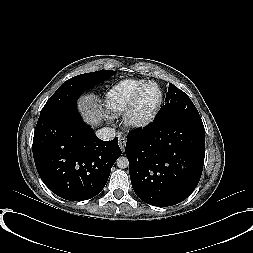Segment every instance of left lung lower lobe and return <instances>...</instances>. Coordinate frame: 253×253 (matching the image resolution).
I'll return each instance as SVG.
<instances>
[{
  "instance_id": "obj_1",
  "label": "left lung lower lobe",
  "mask_w": 253,
  "mask_h": 253,
  "mask_svg": "<svg viewBox=\"0 0 253 253\" xmlns=\"http://www.w3.org/2000/svg\"><path fill=\"white\" fill-rule=\"evenodd\" d=\"M132 187L144 202L166 207L185 200L196 188L205 156L200 116L154 120L130 131L125 148Z\"/></svg>"
}]
</instances>
